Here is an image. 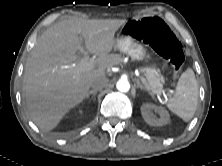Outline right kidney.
I'll use <instances>...</instances> for the list:
<instances>
[{
  "mask_svg": "<svg viewBox=\"0 0 222 166\" xmlns=\"http://www.w3.org/2000/svg\"><path fill=\"white\" fill-rule=\"evenodd\" d=\"M79 114H82L83 113V111L82 110H79V112H78Z\"/></svg>",
  "mask_w": 222,
  "mask_h": 166,
  "instance_id": "obj_1",
  "label": "right kidney"
}]
</instances>
